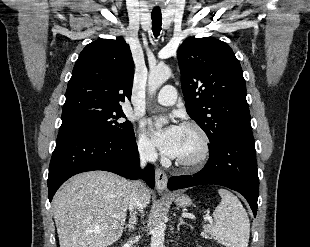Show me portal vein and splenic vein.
<instances>
[{
    "instance_id": "portal-vein-and-splenic-vein-1",
    "label": "portal vein and splenic vein",
    "mask_w": 310,
    "mask_h": 247,
    "mask_svg": "<svg viewBox=\"0 0 310 247\" xmlns=\"http://www.w3.org/2000/svg\"><path fill=\"white\" fill-rule=\"evenodd\" d=\"M205 220H208L209 222H212V219H211V217H209V216L206 217Z\"/></svg>"
}]
</instances>
